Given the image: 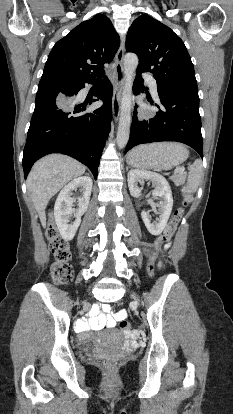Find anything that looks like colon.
Returning <instances> with one entry per match:
<instances>
[{
	"mask_svg": "<svg viewBox=\"0 0 233 414\" xmlns=\"http://www.w3.org/2000/svg\"><path fill=\"white\" fill-rule=\"evenodd\" d=\"M188 204L189 199H185L182 202V206L174 211L173 217L167 224L163 234L160 235L155 242L156 248H159L161 245L165 244L171 239L176 230L177 224L182 218L184 208ZM46 236L49 241L50 250L55 257V263L53 264L51 269L52 278L54 282L57 284L68 283L71 281L73 276V270L71 266L67 263L69 259L68 243L60 236L57 228L53 224L49 225L46 232ZM148 270L150 275H153L152 262L149 263ZM119 326L123 331H130L131 329V324L126 320H122ZM101 363L102 366L108 371H112L114 369L115 363L111 359L105 358L101 361Z\"/></svg>",
	"mask_w": 233,
	"mask_h": 414,
	"instance_id": "5ec220e1",
	"label": "colon"
}]
</instances>
